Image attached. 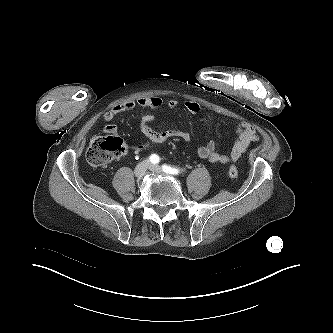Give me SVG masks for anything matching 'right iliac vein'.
<instances>
[{"label": "right iliac vein", "mask_w": 333, "mask_h": 333, "mask_svg": "<svg viewBox=\"0 0 333 333\" xmlns=\"http://www.w3.org/2000/svg\"><path fill=\"white\" fill-rule=\"evenodd\" d=\"M149 167H150V162L148 160L140 162L134 170L135 176L137 178H142Z\"/></svg>", "instance_id": "1"}]
</instances>
